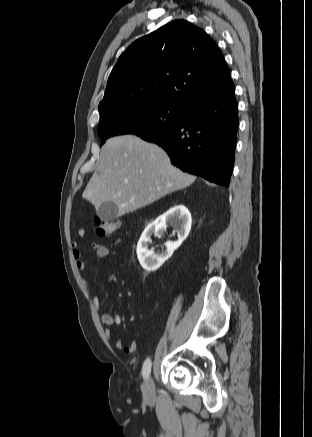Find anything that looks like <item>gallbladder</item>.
I'll use <instances>...</instances> for the list:
<instances>
[{
	"instance_id": "obj_1",
	"label": "gallbladder",
	"mask_w": 312,
	"mask_h": 437,
	"mask_svg": "<svg viewBox=\"0 0 312 437\" xmlns=\"http://www.w3.org/2000/svg\"><path fill=\"white\" fill-rule=\"evenodd\" d=\"M97 215L103 221H113L119 217L118 206L111 201H105L97 209Z\"/></svg>"
}]
</instances>
